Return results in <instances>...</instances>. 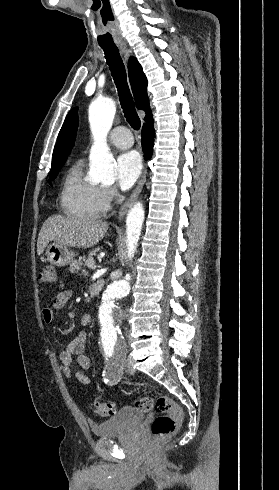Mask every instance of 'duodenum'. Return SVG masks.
<instances>
[{"instance_id":"duodenum-1","label":"duodenum","mask_w":279,"mask_h":490,"mask_svg":"<svg viewBox=\"0 0 279 490\" xmlns=\"http://www.w3.org/2000/svg\"><path fill=\"white\" fill-rule=\"evenodd\" d=\"M102 287H103L102 280L95 281L90 287V294L92 296L97 295L101 291Z\"/></svg>"}]
</instances>
